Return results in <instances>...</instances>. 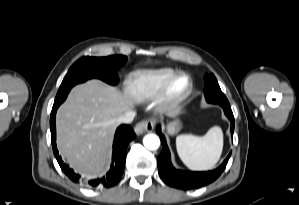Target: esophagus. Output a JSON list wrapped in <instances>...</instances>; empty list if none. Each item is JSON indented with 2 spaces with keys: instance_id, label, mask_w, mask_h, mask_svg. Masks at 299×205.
<instances>
[{
  "instance_id": "34e87169",
  "label": "esophagus",
  "mask_w": 299,
  "mask_h": 205,
  "mask_svg": "<svg viewBox=\"0 0 299 205\" xmlns=\"http://www.w3.org/2000/svg\"><path fill=\"white\" fill-rule=\"evenodd\" d=\"M154 128V123L150 120H143L136 124L134 131L137 135H140L144 132H150Z\"/></svg>"
}]
</instances>
